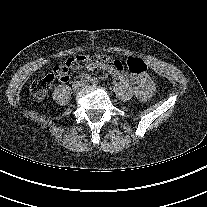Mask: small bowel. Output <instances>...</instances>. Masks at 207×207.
<instances>
[{"label":"small bowel","instance_id":"small-bowel-1","mask_svg":"<svg viewBox=\"0 0 207 207\" xmlns=\"http://www.w3.org/2000/svg\"><path fill=\"white\" fill-rule=\"evenodd\" d=\"M83 68L87 71L103 69L122 83L136 84L135 88L133 89V94L142 102L150 100L155 92L154 81L147 74L139 76L126 74L123 70V64L120 60H113L110 65L105 67H101L96 64H88ZM57 78L63 83H66L70 80L69 73H58Z\"/></svg>","mask_w":207,"mask_h":207}]
</instances>
